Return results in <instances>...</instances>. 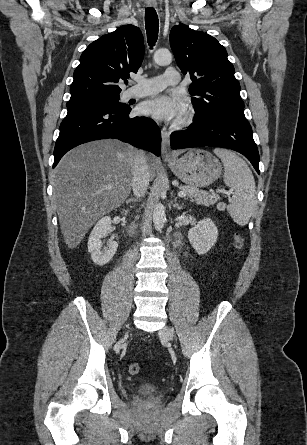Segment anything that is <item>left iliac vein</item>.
I'll return each mask as SVG.
<instances>
[{
    "instance_id": "4c4485c4",
    "label": "left iliac vein",
    "mask_w": 307,
    "mask_h": 445,
    "mask_svg": "<svg viewBox=\"0 0 307 445\" xmlns=\"http://www.w3.org/2000/svg\"><path fill=\"white\" fill-rule=\"evenodd\" d=\"M160 335L166 339L172 340L174 338V331L169 326H165L160 331Z\"/></svg>"
}]
</instances>
